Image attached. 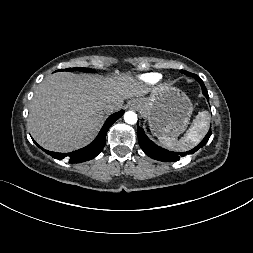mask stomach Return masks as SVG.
<instances>
[{"mask_svg": "<svg viewBox=\"0 0 253 253\" xmlns=\"http://www.w3.org/2000/svg\"><path fill=\"white\" fill-rule=\"evenodd\" d=\"M132 102L148 119L154 135L172 139L186 130L193 111L187 95L172 86L155 88L150 97L136 98Z\"/></svg>", "mask_w": 253, "mask_h": 253, "instance_id": "obj_1", "label": "stomach"}]
</instances>
